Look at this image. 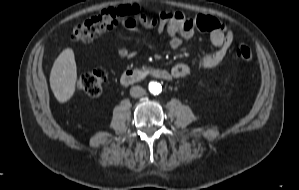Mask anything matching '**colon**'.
<instances>
[{
  "instance_id": "1",
  "label": "colon",
  "mask_w": 299,
  "mask_h": 190,
  "mask_svg": "<svg viewBox=\"0 0 299 190\" xmlns=\"http://www.w3.org/2000/svg\"><path fill=\"white\" fill-rule=\"evenodd\" d=\"M125 13L126 10L121 11L115 8L103 9L98 14L78 24L74 29V36L82 41L93 39L113 26L119 17ZM204 23V17L198 19V24L201 28L204 27ZM242 57L248 59L249 55L245 56L242 54ZM104 80V72L94 71L81 76L77 82V86L88 95L97 96L101 92Z\"/></svg>"
}]
</instances>
